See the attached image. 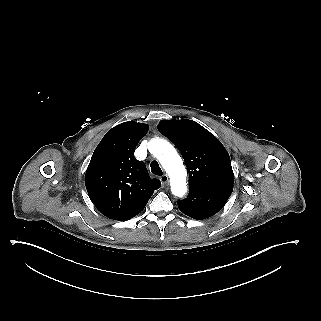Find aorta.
Segmentation results:
<instances>
[{"label": "aorta", "instance_id": "762f6f07", "mask_svg": "<svg viewBox=\"0 0 321 321\" xmlns=\"http://www.w3.org/2000/svg\"><path fill=\"white\" fill-rule=\"evenodd\" d=\"M148 149L168 173L173 195L184 196L187 191L186 169L175 148L164 139H153Z\"/></svg>", "mask_w": 321, "mask_h": 321}]
</instances>
